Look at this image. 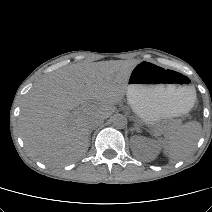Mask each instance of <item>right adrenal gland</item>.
I'll use <instances>...</instances> for the list:
<instances>
[{"instance_id":"1","label":"right adrenal gland","mask_w":212,"mask_h":212,"mask_svg":"<svg viewBox=\"0 0 212 212\" xmlns=\"http://www.w3.org/2000/svg\"><path fill=\"white\" fill-rule=\"evenodd\" d=\"M92 130H89V137H91Z\"/></svg>"}]
</instances>
